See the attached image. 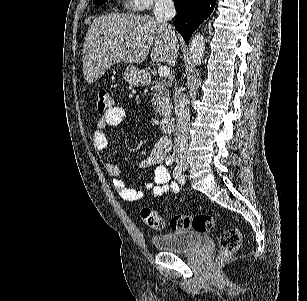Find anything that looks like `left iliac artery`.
<instances>
[{
	"label": "left iliac artery",
	"instance_id": "obj_1",
	"mask_svg": "<svg viewBox=\"0 0 307 301\" xmlns=\"http://www.w3.org/2000/svg\"><path fill=\"white\" fill-rule=\"evenodd\" d=\"M173 173H174L175 177L178 179L179 182H183L184 178L181 174V168L176 166Z\"/></svg>",
	"mask_w": 307,
	"mask_h": 301
}]
</instances>
